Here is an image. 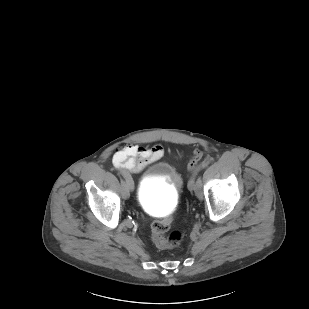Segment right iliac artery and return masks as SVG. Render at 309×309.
<instances>
[{
	"mask_svg": "<svg viewBox=\"0 0 309 309\" xmlns=\"http://www.w3.org/2000/svg\"><path fill=\"white\" fill-rule=\"evenodd\" d=\"M119 172H120V174H119ZM117 174L122 175V177H124L127 180H130L133 176L131 172H129V171L126 172L125 170H122V169L118 170ZM129 187H134V181H129Z\"/></svg>",
	"mask_w": 309,
	"mask_h": 309,
	"instance_id": "obj_1",
	"label": "right iliac artery"
}]
</instances>
